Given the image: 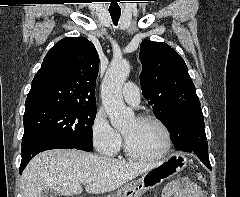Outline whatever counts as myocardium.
<instances>
[{
    "instance_id": "myocardium-1",
    "label": "myocardium",
    "mask_w": 240,
    "mask_h": 197,
    "mask_svg": "<svg viewBox=\"0 0 240 197\" xmlns=\"http://www.w3.org/2000/svg\"><path fill=\"white\" fill-rule=\"evenodd\" d=\"M136 119L139 121H152V122H155L156 124H158L161 127V129L163 130L164 135H165V147L160 153L155 154V155L139 154L132 149L126 136L123 134L124 151H125L126 155L129 156L130 158L140 160V161H156V160H160V159L164 158L165 156H167L172 148V135H171V131H170L169 127L167 126V124L161 118H159L153 114H148V113L140 114L136 117Z\"/></svg>"
}]
</instances>
